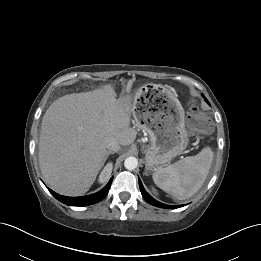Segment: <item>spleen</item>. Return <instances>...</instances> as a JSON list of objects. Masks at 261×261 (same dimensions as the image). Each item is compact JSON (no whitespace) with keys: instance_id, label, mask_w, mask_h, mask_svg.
Here are the masks:
<instances>
[{"instance_id":"1","label":"spleen","mask_w":261,"mask_h":261,"mask_svg":"<svg viewBox=\"0 0 261 261\" xmlns=\"http://www.w3.org/2000/svg\"><path fill=\"white\" fill-rule=\"evenodd\" d=\"M213 160V151L203 148L197 155L188 156L153 173L154 183L178 200L192 197L202 187Z\"/></svg>"}]
</instances>
